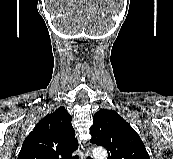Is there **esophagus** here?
<instances>
[{
    "instance_id": "esophagus-1",
    "label": "esophagus",
    "mask_w": 173,
    "mask_h": 159,
    "mask_svg": "<svg viewBox=\"0 0 173 159\" xmlns=\"http://www.w3.org/2000/svg\"><path fill=\"white\" fill-rule=\"evenodd\" d=\"M84 159H93L89 149H86Z\"/></svg>"
}]
</instances>
